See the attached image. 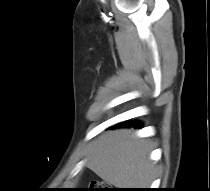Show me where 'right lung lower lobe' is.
Masks as SVG:
<instances>
[{
	"mask_svg": "<svg viewBox=\"0 0 210 191\" xmlns=\"http://www.w3.org/2000/svg\"><path fill=\"white\" fill-rule=\"evenodd\" d=\"M120 125H129V126H135V127H139V123H136V122H131V123H128V122H123L121 123Z\"/></svg>",
	"mask_w": 210,
	"mask_h": 191,
	"instance_id": "98d812e1",
	"label": "right lung lower lobe"
}]
</instances>
